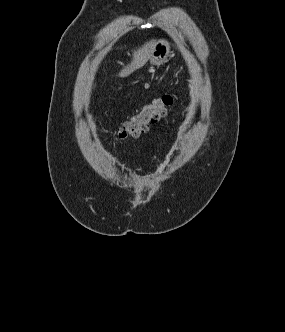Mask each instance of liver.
Here are the masks:
<instances>
[{
	"label": "liver",
	"mask_w": 285,
	"mask_h": 332,
	"mask_svg": "<svg viewBox=\"0 0 285 332\" xmlns=\"http://www.w3.org/2000/svg\"><path fill=\"white\" fill-rule=\"evenodd\" d=\"M154 45L155 40H150L149 42H146L142 47L134 50L131 63L121 70L119 76L127 77L136 69L142 67L151 58ZM94 70L95 68H91V73Z\"/></svg>",
	"instance_id": "6515ba94"
}]
</instances>
